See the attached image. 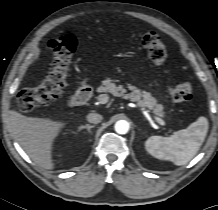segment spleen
Masks as SVG:
<instances>
[{"label":"spleen","mask_w":218,"mask_h":210,"mask_svg":"<svg viewBox=\"0 0 218 210\" xmlns=\"http://www.w3.org/2000/svg\"><path fill=\"white\" fill-rule=\"evenodd\" d=\"M208 132V120L200 116L186 129L169 137L151 136L145 142L148 153L160 160H168L177 166L188 163L199 151Z\"/></svg>","instance_id":"obj_1"}]
</instances>
